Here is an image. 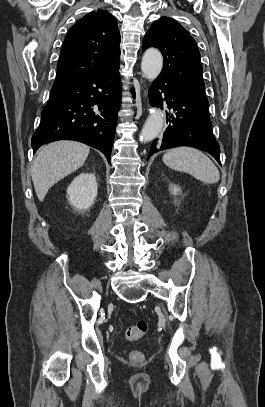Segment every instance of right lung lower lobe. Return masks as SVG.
I'll return each instance as SVG.
<instances>
[{
  "label": "right lung lower lobe",
  "mask_w": 265,
  "mask_h": 407,
  "mask_svg": "<svg viewBox=\"0 0 265 407\" xmlns=\"http://www.w3.org/2000/svg\"><path fill=\"white\" fill-rule=\"evenodd\" d=\"M121 102L119 64L50 93L32 136L34 152L56 140H76L100 150L110 163Z\"/></svg>",
  "instance_id": "98d812e1"
}]
</instances>
